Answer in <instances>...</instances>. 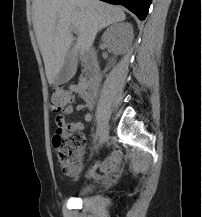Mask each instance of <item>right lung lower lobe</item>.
<instances>
[{
	"mask_svg": "<svg viewBox=\"0 0 202 217\" xmlns=\"http://www.w3.org/2000/svg\"><path fill=\"white\" fill-rule=\"evenodd\" d=\"M110 4H120L133 12L140 20L147 16L152 0H102Z\"/></svg>",
	"mask_w": 202,
	"mask_h": 217,
	"instance_id": "obj_1",
	"label": "right lung lower lobe"
}]
</instances>
